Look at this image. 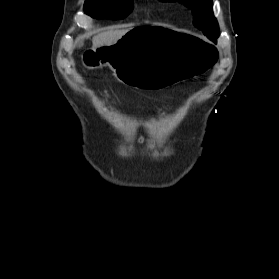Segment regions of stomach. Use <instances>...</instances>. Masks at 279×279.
<instances>
[{
	"instance_id": "stomach-1",
	"label": "stomach",
	"mask_w": 279,
	"mask_h": 279,
	"mask_svg": "<svg viewBox=\"0 0 279 279\" xmlns=\"http://www.w3.org/2000/svg\"><path fill=\"white\" fill-rule=\"evenodd\" d=\"M101 48L84 50L82 68L98 72L107 63L134 91H166L180 82H202L215 72L214 47L166 25H135L117 42Z\"/></svg>"
}]
</instances>
